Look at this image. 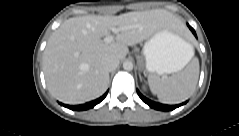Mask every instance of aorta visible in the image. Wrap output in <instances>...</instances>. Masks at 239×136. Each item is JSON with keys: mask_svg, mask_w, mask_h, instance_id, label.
<instances>
[{"mask_svg": "<svg viewBox=\"0 0 239 136\" xmlns=\"http://www.w3.org/2000/svg\"><path fill=\"white\" fill-rule=\"evenodd\" d=\"M123 68L124 70L126 71H131L133 69V63L129 60H126L124 63H123Z\"/></svg>", "mask_w": 239, "mask_h": 136, "instance_id": "obj_1", "label": "aorta"}]
</instances>
